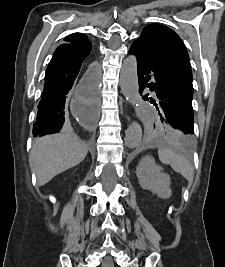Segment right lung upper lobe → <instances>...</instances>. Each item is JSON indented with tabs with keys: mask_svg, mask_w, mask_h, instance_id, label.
Listing matches in <instances>:
<instances>
[{
	"mask_svg": "<svg viewBox=\"0 0 225 267\" xmlns=\"http://www.w3.org/2000/svg\"><path fill=\"white\" fill-rule=\"evenodd\" d=\"M64 40L65 43H89L87 36L81 33L70 34Z\"/></svg>",
	"mask_w": 225,
	"mask_h": 267,
	"instance_id": "obj_1",
	"label": "right lung upper lobe"
}]
</instances>
